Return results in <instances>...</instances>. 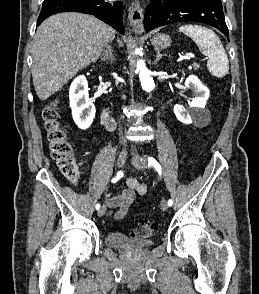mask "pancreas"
I'll return each mask as SVG.
<instances>
[{
    "label": "pancreas",
    "instance_id": "cf45deb5",
    "mask_svg": "<svg viewBox=\"0 0 259 294\" xmlns=\"http://www.w3.org/2000/svg\"><path fill=\"white\" fill-rule=\"evenodd\" d=\"M194 69H198L200 66L197 63H193Z\"/></svg>",
    "mask_w": 259,
    "mask_h": 294
}]
</instances>
